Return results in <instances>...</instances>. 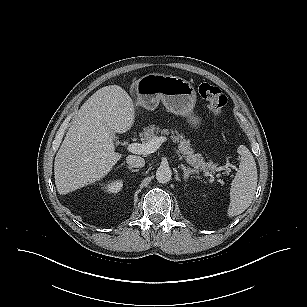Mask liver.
I'll use <instances>...</instances> for the list:
<instances>
[{"label": "liver", "mask_w": 307, "mask_h": 307, "mask_svg": "<svg viewBox=\"0 0 307 307\" xmlns=\"http://www.w3.org/2000/svg\"><path fill=\"white\" fill-rule=\"evenodd\" d=\"M137 81L130 87L136 88ZM135 105L118 85L97 90L80 108L54 162L59 194L65 195L105 177L122 155L115 152L114 133L131 129Z\"/></svg>", "instance_id": "obj_1"}]
</instances>
